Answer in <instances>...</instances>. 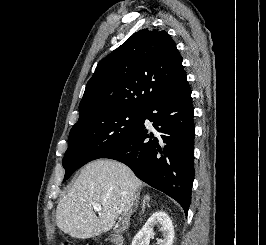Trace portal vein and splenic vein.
I'll return each mask as SVG.
<instances>
[{"label":"portal vein and splenic vein","instance_id":"obj_1","mask_svg":"<svg viewBox=\"0 0 266 245\" xmlns=\"http://www.w3.org/2000/svg\"><path fill=\"white\" fill-rule=\"evenodd\" d=\"M93 209L94 211H102L101 205H97V203H93Z\"/></svg>","mask_w":266,"mask_h":245}]
</instances>
